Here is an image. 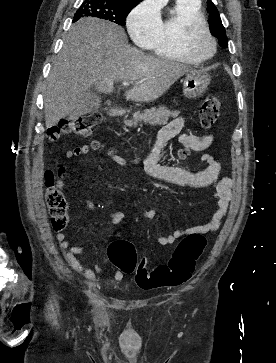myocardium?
I'll list each match as a JSON object with an SVG mask.
<instances>
[{
  "label": "myocardium",
  "instance_id": "f54148a6",
  "mask_svg": "<svg viewBox=\"0 0 276 363\" xmlns=\"http://www.w3.org/2000/svg\"><path fill=\"white\" fill-rule=\"evenodd\" d=\"M204 31V33L209 38L211 44H212V50L208 55H201L198 52H196L192 46H191V38L197 33L198 31ZM182 47L185 53L194 61L202 63L210 60L216 53L217 50V42L215 37L213 36L211 30L209 29V26L206 22L193 20L187 22L183 28H182Z\"/></svg>",
  "mask_w": 276,
  "mask_h": 363
}]
</instances>
